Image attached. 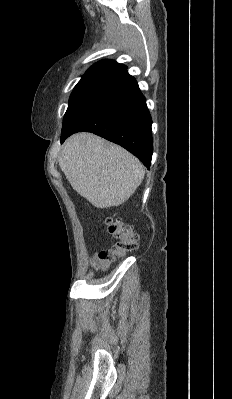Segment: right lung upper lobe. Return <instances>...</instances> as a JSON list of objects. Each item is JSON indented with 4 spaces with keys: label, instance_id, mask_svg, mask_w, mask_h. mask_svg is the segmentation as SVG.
I'll return each mask as SVG.
<instances>
[{
    "label": "right lung upper lobe",
    "instance_id": "1",
    "mask_svg": "<svg viewBox=\"0 0 232 399\" xmlns=\"http://www.w3.org/2000/svg\"><path fill=\"white\" fill-rule=\"evenodd\" d=\"M126 69L125 65L113 60H102L92 65L82 76L81 80L100 83L126 71Z\"/></svg>",
    "mask_w": 232,
    "mask_h": 399
}]
</instances>
